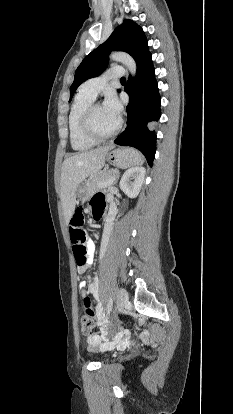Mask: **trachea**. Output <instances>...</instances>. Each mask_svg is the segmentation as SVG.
<instances>
[{
  "instance_id": "3493384b",
  "label": "trachea",
  "mask_w": 233,
  "mask_h": 414,
  "mask_svg": "<svg viewBox=\"0 0 233 414\" xmlns=\"http://www.w3.org/2000/svg\"><path fill=\"white\" fill-rule=\"evenodd\" d=\"M120 81H121V82H126V78H125V77H122V78L120 79Z\"/></svg>"
}]
</instances>
